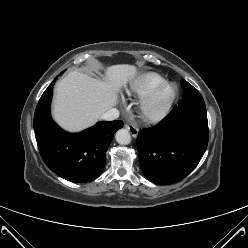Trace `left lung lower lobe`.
I'll list each match as a JSON object with an SVG mask.
<instances>
[{"label":"left lung lower lobe","instance_id":"0a47b994","mask_svg":"<svg viewBox=\"0 0 248 248\" xmlns=\"http://www.w3.org/2000/svg\"><path fill=\"white\" fill-rule=\"evenodd\" d=\"M208 144L204 101L174 108L157 125L138 133L140 167L153 183L170 184L185 178L199 163Z\"/></svg>","mask_w":248,"mask_h":248}]
</instances>
